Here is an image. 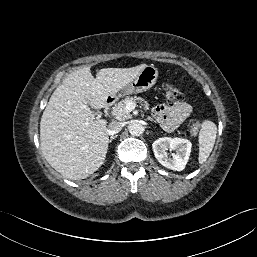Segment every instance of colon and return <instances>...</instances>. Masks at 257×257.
Masks as SVG:
<instances>
[{
  "instance_id": "1",
  "label": "colon",
  "mask_w": 257,
  "mask_h": 257,
  "mask_svg": "<svg viewBox=\"0 0 257 257\" xmlns=\"http://www.w3.org/2000/svg\"><path fill=\"white\" fill-rule=\"evenodd\" d=\"M164 94H165L166 99L171 103H179L183 100L182 92L177 87H175L174 85H171V84H168L165 86ZM192 127L198 128L199 123L194 121L192 123Z\"/></svg>"
}]
</instances>
